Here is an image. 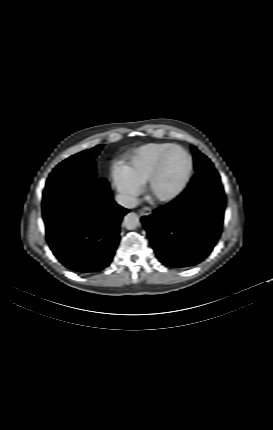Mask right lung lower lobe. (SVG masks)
Segmentation results:
<instances>
[{
	"mask_svg": "<svg viewBox=\"0 0 273 430\" xmlns=\"http://www.w3.org/2000/svg\"><path fill=\"white\" fill-rule=\"evenodd\" d=\"M42 210L50 249L66 268L93 273L109 266L129 210L114 202L106 179L45 199Z\"/></svg>",
	"mask_w": 273,
	"mask_h": 430,
	"instance_id": "right-lung-lower-lobe-1",
	"label": "right lung lower lobe"
}]
</instances>
